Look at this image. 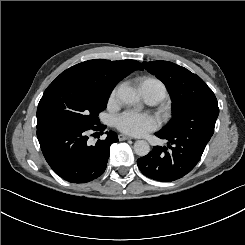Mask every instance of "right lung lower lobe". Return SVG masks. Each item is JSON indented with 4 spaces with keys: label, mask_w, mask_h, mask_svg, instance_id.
<instances>
[{
    "label": "right lung lower lobe",
    "mask_w": 245,
    "mask_h": 245,
    "mask_svg": "<svg viewBox=\"0 0 245 245\" xmlns=\"http://www.w3.org/2000/svg\"><path fill=\"white\" fill-rule=\"evenodd\" d=\"M106 126L51 125L37 128L43 155L52 170L71 183H87L98 178L106 169L110 146L118 141L115 132H106L104 140L94 146L87 144V131L103 134Z\"/></svg>",
    "instance_id": "1"
}]
</instances>
